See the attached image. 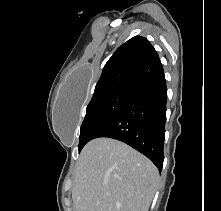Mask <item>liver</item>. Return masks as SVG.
I'll return each instance as SVG.
<instances>
[{"label": "liver", "instance_id": "6515ba94", "mask_svg": "<svg viewBox=\"0 0 221 211\" xmlns=\"http://www.w3.org/2000/svg\"><path fill=\"white\" fill-rule=\"evenodd\" d=\"M158 181V169L135 149L111 138L94 139L76 165L75 211H148Z\"/></svg>", "mask_w": 221, "mask_h": 211}]
</instances>
